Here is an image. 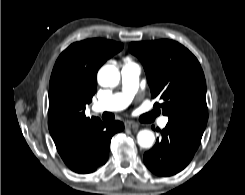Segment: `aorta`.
<instances>
[{"label":"aorta","instance_id":"762f6f07","mask_svg":"<svg viewBox=\"0 0 245 195\" xmlns=\"http://www.w3.org/2000/svg\"><path fill=\"white\" fill-rule=\"evenodd\" d=\"M120 81V73L115 66H103L98 72V82L103 87H116ZM155 140L154 133L150 130H141L137 134L138 145L142 148H150Z\"/></svg>","mask_w":245,"mask_h":195}]
</instances>
